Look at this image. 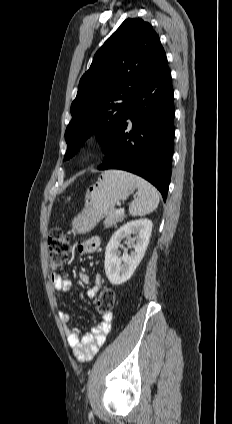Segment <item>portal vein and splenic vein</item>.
<instances>
[{"instance_id": "obj_1", "label": "portal vein and splenic vein", "mask_w": 232, "mask_h": 424, "mask_svg": "<svg viewBox=\"0 0 232 424\" xmlns=\"http://www.w3.org/2000/svg\"><path fill=\"white\" fill-rule=\"evenodd\" d=\"M117 213H118V214H124V209H123V208L118 209V210H117Z\"/></svg>"}]
</instances>
